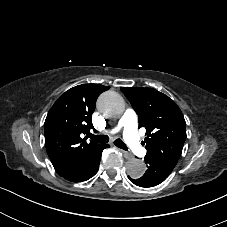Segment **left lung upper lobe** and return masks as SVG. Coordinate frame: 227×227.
<instances>
[{
  "label": "left lung upper lobe",
  "mask_w": 227,
  "mask_h": 227,
  "mask_svg": "<svg viewBox=\"0 0 227 227\" xmlns=\"http://www.w3.org/2000/svg\"><path fill=\"white\" fill-rule=\"evenodd\" d=\"M146 128L145 158L173 170L186 139V122L178 105L165 94L142 87H121Z\"/></svg>",
  "instance_id": "1"
}]
</instances>
